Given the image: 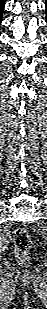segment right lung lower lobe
<instances>
[{
	"instance_id": "right-lung-lower-lobe-1",
	"label": "right lung lower lobe",
	"mask_w": 47,
	"mask_h": 309,
	"mask_svg": "<svg viewBox=\"0 0 47 309\" xmlns=\"http://www.w3.org/2000/svg\"><path fill=\"white\" fill-rule=\"evenodd\" d=\"M3 10H4V0H0V23L2 21Z\"/></svg>"
}]
</instances>
